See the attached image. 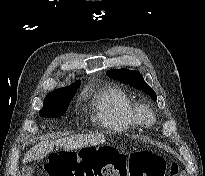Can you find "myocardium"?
Wrapping results in <instances>:
<instances>
[{"mask_svg": "<svg viewBox=\"0 0 205 176\" xmlns=\"http://www.w3.org/2000/svg\"><path fill=\"white\" fill-rule=\"evenodd\" d=\"M135 114L138 122L142 125L149 126L156 121L154 113L146 106L137 107Z\"/></svg>", "mask_w": 205, "mask_h": 176, "instance_id": "obj_1", "label": "myocardium"}]
</instances>
